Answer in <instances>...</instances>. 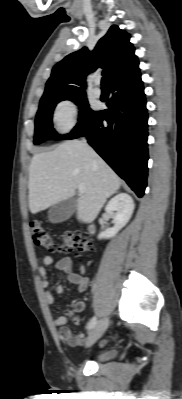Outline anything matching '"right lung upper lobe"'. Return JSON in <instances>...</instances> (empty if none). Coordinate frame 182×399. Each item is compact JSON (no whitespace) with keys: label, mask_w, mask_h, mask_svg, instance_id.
Segmentation results:
<instances>
[{"label":"right lung upper lobe","mask_w":182,"mask_h":399,"mask_svg":"<svg viewBox=\"0 0 182 399\" xmlns=\"http://www.w3.org/2000/svg\"><path fill=\"white\" fill-rule=\"evenodd\" d=\"M129 39L128 33L114 25L93 51L84 47L66 56L54 66L41 100L63 95H86L85 78L98 67L104 68L103 75L109 77V86L138 73L139 62Z\"/></svg>","instance_id":"right-lung-upper-lobe-1"}]
</instances>
